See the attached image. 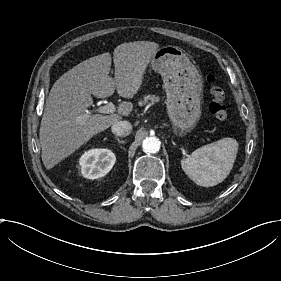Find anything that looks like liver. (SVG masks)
I'll return each instance as SVG.
<instances>
[{"mask_svg": "<svg viewBox=\"0 0 281 281\" xmlns=\"http://www.w3.org/2000/svg\"><path fill=\"white\" fill-rule=\"evenodd\" d=\"M159 45L150 41L123 43L114 49V78L109 76L110 53L91 57L64 73L50 90L46 100L39 140L46 169L74 153L94 135L128 116L133 105L121 102L117 114H89L92 96L106 98L117 90L119 96L133 98Z\"/></svg>", "mask_w": 281, "mask_h": 281, "instance_id": "liver-1", "label": "liver"}]
</instances>
